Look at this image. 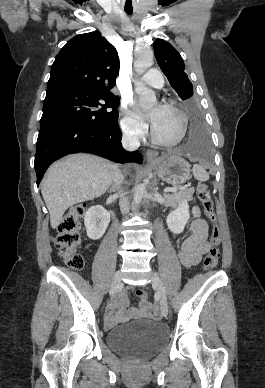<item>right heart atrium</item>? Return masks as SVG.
I'll use <instances>...</instances> for the list:
<instances>
[{
  "label": "right heart atrium",
  "mask_w": 265,
  "mask_h": 388,
  "mask_svg": "<svg viewBox=\"0 0 265 388\" xmlns=\"http://www.w3.org/2000/svg\"><path fill=\"white\" fill-rule=\"evenodd\" d=\"M123 112L125 116L123 124L128 134L134 138H143L147 133V125L144 121L130 111L128 103L123 104Z\"/></svg>",
  "instance_id": "right-heart-atrium-1"
}]
</instances>
